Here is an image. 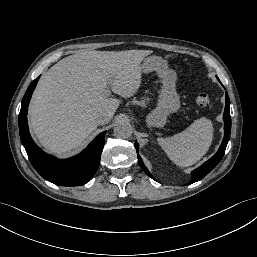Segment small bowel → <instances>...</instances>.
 <instances>
[{"label":"small bowel","mask_w":257,"mask_h":257,"mask_svg":"<svg viewBox=\"0 0 257 257\" xmlns=\"http://www.w3.org/2000/svg\"><path fill=\"white\" fill-rule=\"evenodd\" d=\"M173 73H174V75H176V76H182V75H184V73H185V68H184V66H182V65H176V66H174V68H173Z\"/></svg>","instance_id":"1"}]
</instances>
